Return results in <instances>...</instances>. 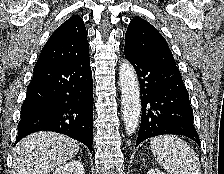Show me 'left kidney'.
<instances>
[{
	"mask_svg": "<svg viewBox=\"0 0 224 174\" xmlns=\"http://www.w3.org/2000/svg\"><path fill=\"white\" fill-rule=\"evenodd\" d=\"M147 174H165L161 172L159 169H150Z\"/></svg>",
	"mask_w": 224,
	"mask_h": 174,
	"instance_id": "obj_1",
	"label": "left kidney"
}]
</instances>
